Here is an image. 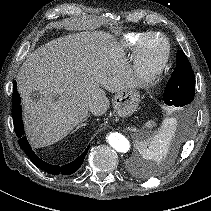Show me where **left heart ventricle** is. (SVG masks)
Returning a JSON list of instances; mask_svg holds the SVG:
<instances>
[{"label":"left heart ventricle","mask_w":211,"mask_h":211,"mask_svg":"<svg viewBox=\"0 0 211 211\" xmlns=\"http://www.w3.org/2000/svg\"><path fill=\"white\" fill-rule=\"evenodd\" d=\"M164 52V41L160 37L150 38L144 47V57L148 65L156 64Z\"/></svg>","instance_id":"left-heart-ventricle-1"}]
</instances>
